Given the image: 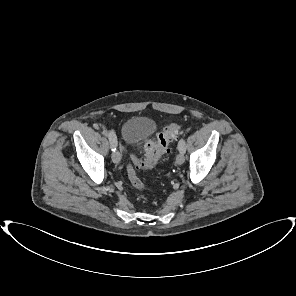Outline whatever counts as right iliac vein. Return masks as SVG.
Wrapping results in <instances>:
<instances>
[{
    "label": "right iliac vein",
    "mask_w": 296,
    "mask_h": 296,
    "mask_svg": "<svg viewBox=\"0 0 296 296\" xmlns=\"http://www.w3.org/2000/svg\"><path fill=\"white\" fill-rule=\"evenodd\" d=\"M112 160L115 164L120 163L121 161V155L120 152L118 150H115L112 154Z\"/></svg>",
    "instance_id": "63e3f726"
}]
</instances>
